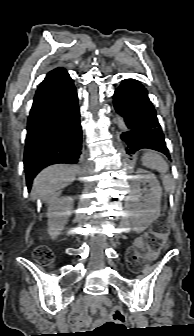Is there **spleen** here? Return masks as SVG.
<instances>
[{"label": "spleen", "mask_w": 194, "mask_h": 336, "mask_svg": "<svg viewBox=\"0 0 194 336\" xmlns=\"http://www.w3.org/2000/svg\"><path fill=\"white\" fill-rule=\"evenodd\" d=\"M142 163L144 166L150 169H155L162 175V182L167 192L172 189V179L165 173L168 171V164L166 161L156 152H146L142 156Z\"/></svg>", "instance_id": "3e777b00"}]
</instances>
